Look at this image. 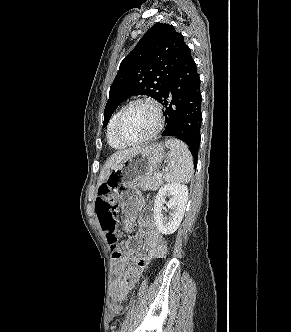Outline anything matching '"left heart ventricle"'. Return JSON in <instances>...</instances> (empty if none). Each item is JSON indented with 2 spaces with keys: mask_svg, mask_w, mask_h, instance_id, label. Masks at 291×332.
Masks as SVG:
<instances>
[{
  "mask_svg": "<svg viewBox=\"0 0 291 332\" xmlns=\"http://www.w3.org/2000/svg\"><path fill=\"white\" fill-rule=\"evenodd\" d=\"M156 126V116L151 106L136 104L124 114L120 131L130 140L140 139L150 134Z\"/></svg>",
  "mask_w": 291,
  "mask_h": 332,
  "instance_id": "obj_1",
  "label": "left heart ventricle"
}]
</instances>
